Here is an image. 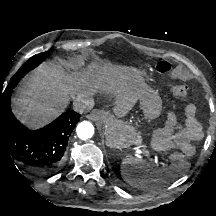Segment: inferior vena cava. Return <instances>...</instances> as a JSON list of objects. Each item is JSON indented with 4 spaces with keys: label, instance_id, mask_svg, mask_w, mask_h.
Here are the masks:
<instances>
[{
    "label": "inferior vena cava",
    "instance_id": "1",
    "mask_svg": "<svg viewBox=\"0 0 216 216\" xmlns=\"http://www.w3.org/2000/svg\"><path fill=\"white\" fill-rule=\"evenodd\" d=\"M94 106V101L85 95H78L73 102V109L77 113H87Z\"/></svg>",
    "mask_w": 216,
    "mask_h": 216
}]
</instances>
